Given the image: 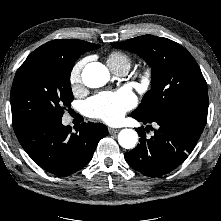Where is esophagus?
I'll use <instances>...</instances> for the list:
<instances>
[{"label": "esophagus", "instance_id": "34e87169", "mask_svg": "<svg viewBox=\"0 0 221 221\" xmlns=\"http://www.w3.org/2000/svg\"><path fill=\"white\" fill-rule=\"evenodd\" d=\"M108 131H109L110 134H113V133L118 132L119 129H117V128H108Z\"/></svg>", "mask_w": 221, "mask_h": 221}]
</instances>
